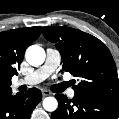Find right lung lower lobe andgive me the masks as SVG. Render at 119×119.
<instances>
[{
  "instance_id": "98d812e1",
  "label": "right lung lower lobe",
  "mask_w": 119,
  "mask_h": 119,
  "mask_svg": "<svg viewBox=\"0 0 119 119\" xmlns=\"http://www.w3.org/2000/svg\"><path fill=\"white\" fill-rule=\"evenodd\" d=\"M42 100L37 88L12 95V89L0 91V119H30L31 113Z\"/></svg>"
}]
</instances>
